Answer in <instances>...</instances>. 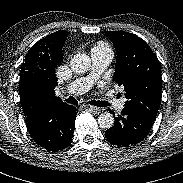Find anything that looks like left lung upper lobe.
Returning a JSON list of instances; mask_svg holds the SVG:
<instances>
[{"label":"left lung upper lobe","instance_id":"5c2ea615","mask_svg":"<svg viewBox=\"0 0 183 183\" xmlns=\"http://www.w3.org/2000/svg\"><path fill=\"white\" fill-rule=\"evenodd\" d=\"M117 52L114 80L124 87L125 108L155 120L160 105L162 78L157 56L135 34L107 31Z\"/></svg>","mask_w":183,"mask_h":183}]
</instances>
